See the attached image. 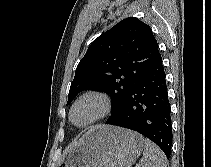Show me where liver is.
Wrapping results in <instances>:
<instances>
[{"label":"liver","instance_id":"obj_1","mask_svg":"<svg viewBox=\"0 0 211 167\" xmlns=\"http://www.w3.org/2000/svg\"><path fill=\"white\" fill-rule=\"evenodd\" d=\"M77 143H74L72 145H70L68 148H67V151L70 150L71 148H73Z\"/></svg>","mask_w":211,"mask_h":167}]
</instances>
